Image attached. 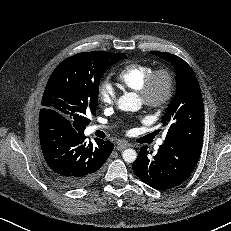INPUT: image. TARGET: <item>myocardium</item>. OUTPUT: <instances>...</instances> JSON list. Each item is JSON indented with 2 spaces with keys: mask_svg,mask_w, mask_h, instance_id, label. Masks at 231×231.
<instances>
[{
  "mask_svg": "<svg viewBox=\"0 0 231 231\" xmlns=\"http://www.w3.org/2000/svg\"><path fill=\"white\" fill-rule=\"evenodd\" d=\"M175 77L167 67L151 72L138 95L143 104L156 111L165 110L175 94Z\"/></svg>",
  "mask_w": 231,
  "mask_h": 231,
  "instance_id": "obj_1",
  "label": "myocardium"
}]
</instances>
